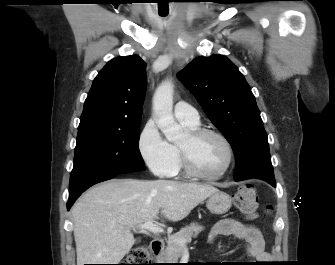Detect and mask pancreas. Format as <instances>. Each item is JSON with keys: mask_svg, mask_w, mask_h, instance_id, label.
Listing matches in <instances>:
<instances>
[{"mask_svg": "<svg viewBox=\"0 0 335 265\" xmlns=\"http://www.w3.org/2000/svg\"><path fill=\"white\" fill-rule=\"evenodd\" d=\"M204 228L197 223L185 226L179 232L173 234L167 240L166 249L160 254L159 260L166 263H177L182 253L183 244L191 242L192 237H196ZM182 240L183 243L178 241Z\"/></svg>", "mask_w": 335, "mask_h": 265, "instance_id": "1", "label": "pancreas"}]
</instances>
